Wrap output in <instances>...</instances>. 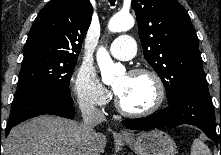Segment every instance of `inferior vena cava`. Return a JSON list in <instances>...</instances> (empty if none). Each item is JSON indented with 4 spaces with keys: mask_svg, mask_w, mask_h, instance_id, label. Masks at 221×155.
I'll list each match as a JSON object with an SVG mask.
<instances>
[{
    "mask_svg": "<svg viewBox=\"0 0 221 155\" xmlns=\"http://www.w3.org/2000/svg\"><path fill=\"white\" fill-rule=\"evenodd\" d=\"M79 108L82 113L84 129L86 134L85 153L83 155H96L94 141L97 136L95 127L106 121L102 111L89 101L79 102Z\"/></svg>",
    "mask_w": 221,
    "mask_h": 155,
    "instance_id": "obj_1",
    "label": "inferior vena cava"
}]
</instances>
